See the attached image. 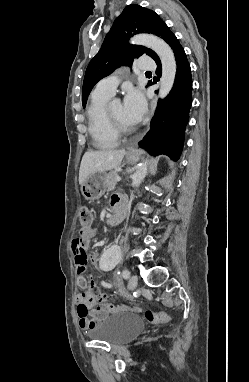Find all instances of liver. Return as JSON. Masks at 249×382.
<instances>
[{
    "mask_svg": "<svg viewBox=\"0 0 249 382\" xmlns=\"http://www.w3.org/2000/svg\"><path fill=\"white\" fill-rule=\"evenodd\" d=\"M126 151L121 150H101L87 151L81 161L79 170V184L82 186L85 179L94 172H103L117 168Z\"/></svg>",
    "mask_w": 249,
    "mask_h": 382,
    "instance_id": "6515ba94",
    "label": "liver"
}]
</instances>
